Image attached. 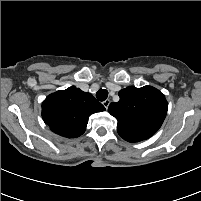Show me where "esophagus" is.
Listing matches in <instances>:
<instances>
[{
    "label": "esophagus",
    "instance_id": "34e87169",
    "mask_svg": "<svg viewBox=\"0 0 201 201\" xmlns=\"http://www.w3.org/2000/svg\"><path fill=\"white\" fill-rule=\"evenodd\" d=\"M103 106L108 109L109 105H110V100L109 99H106L102 102Z\"/></svg>",
    "mask_w": 201,
    "mask_h": 201
}]
</instances>
